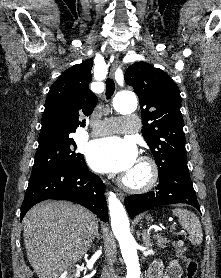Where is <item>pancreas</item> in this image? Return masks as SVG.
<instances>
[{
    "label": "pancreas",
    "mask_w": 221,
    "mask_h": 278,
    "mask_svg": "<svg viewBox=\"0 0 221 278\" xmlns=\"http://www.w3.org/2000/svg\"><path fill=\"white\" fill-rule=\"evenodd\" d=\"M156 245L160 248H166V244L169 243V240L161 235H155Z\"/></svg>",
    "instance_id": "cf45deb5"
}]
</instances>
